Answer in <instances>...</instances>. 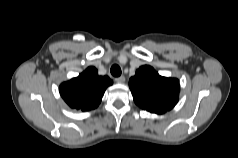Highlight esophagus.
<instances>
[{
  "label": "esophagus",
  "instance_id": "1",
  "mask_svg": "<svg viewBox=\"0 0 238 158\" xmlns=\"http://www.w3.org/2000/svg\"><path fill=\"white\" fill-rule=\"evenodd\" d=\"M115 81L118 83H123V82H125V77L124 76L116 77Z\"/></svg>",
  "mask_w": 238,
  "mask_h": 158
}]
</instances>
